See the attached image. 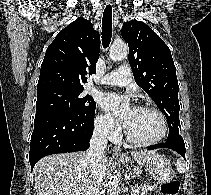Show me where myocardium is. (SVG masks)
Instances as JSON below:
<instances>
[{"instance_id":"obj_1","label":"myocardium","mask_w":211,"mask_h":195,"mask_svg":"<svg viewBox=\"0 0 211 195\" xmlns=\"http://www.w3.org/2000/svg\"><path fill=\"white\" fill-rule=\"evenodd\" d=\"M136 108L140 109V110H148V111H152V112L156 113L160 117L161 122H162V132L157 138H155L153 140L141 141V140L134 138L129 133L126 126H124L125 138L130 143L137 145V146H142V147L152 146V145H155V144L159 143L160 141H162L165 138V136L167 135V132H168V122H167V118H166L165 114L160 109H158L157 107H154V106H151V105H140Z\"/></svg>"}]
</instances>
